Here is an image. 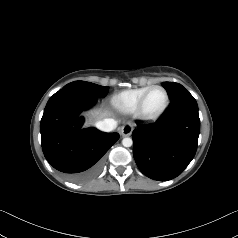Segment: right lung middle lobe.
I'll use <instances>...</instances> for the list:
<instances>
[{"label":"right lung middle lobe","instance_id":"1","mask_svg":"<svg viewBox=\"0 0 238 238\" xmlns=\"http://www.w3.org/2000/svg\"><path fill=\"white\" fill-rule=\"evenodd\" d=\"M75 87L83 91L84 93L93 97L99 98L104 97L108 93V86H100L91 82L86 81H74L63 88Z\"/></svg>","mask_w":238,"mask_h":238}]
</instances>
